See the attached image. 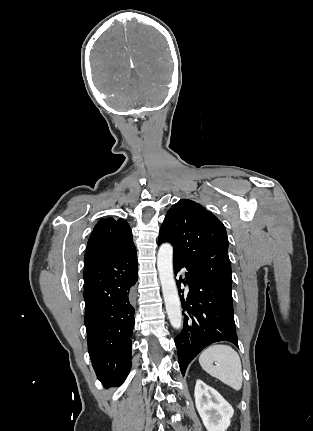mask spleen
<instances>
[{
    "instance_id": "3e777b00",
    "label": "spleen",
    "mask_w": 313,
    "mask_h": 431,
    "mask_svg": "<svg viewBox=\"0 0 313 431\" xmlns=\"http://www.w3.org/2000/svg\"><path fill=\"white\" fill-rule=\"evenodd\" d=\"M213 362L216 365H213ZM202 369L234 390L242 387V366L238 353L228 345L215 344L199 356Z\"/></svg>"
}]
</instances>
